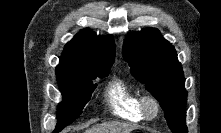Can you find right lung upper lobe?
<instances>
[{"mask_svg": "<svg viewBox=\"0 0 221 133\" xmlns=\"http://www.w3.org/2000/svg\"><path fill=\"white\" fill-rule=\"evenodd\" d=\"M115 43L113 37L97 36L88 29L80 31L64 48L56 75H64L82 68L113 64Z\"/></svg>", "mask_w": 221, "mask_h": 133, "instance_id": "obj_1", "label": "right lung upper lobe"}]
</instances>
